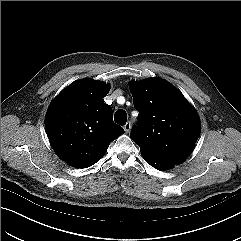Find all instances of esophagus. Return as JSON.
<instances>
[{"label": "esophagus", "mask_w": 241, "mask_h": 241, "mask_svg": "<svg viewBox=\"0 0 241 241\" xmlns=\"http://www.w3.org/2000/svg\"><path fill=\"white\" fill-rule=\"evenodd\" d=\"M124 130L126 133H128L131 129V123L127 122L124 126H123Z\"/></svg>", "instance_id": "esophagus-1"}]
</instances>
